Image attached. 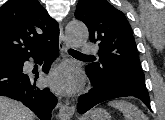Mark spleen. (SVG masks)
<instances>
[{
	"label": "spleen",
	"instance_id": "spleen-1",
	"mask_svg": "<svg viewBox=\"0 0 165 120\" xmlns=\"http://www.w3.org/2000/svg\"><path fill=\"white\" fill-rule=\"evenodd\" d=\"M109 105L123 113L125 120H148V117L138 107L125 100H113Z\"/></svg>",
	"mask_w": 165,
	"mask_h": 120
}]
</instances>
